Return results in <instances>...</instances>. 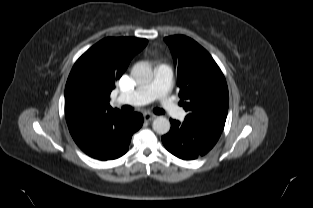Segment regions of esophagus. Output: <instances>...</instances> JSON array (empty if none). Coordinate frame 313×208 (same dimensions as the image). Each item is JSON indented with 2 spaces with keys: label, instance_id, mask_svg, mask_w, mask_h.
Wrapping results in <instances>:
<instances>
[{
  "label": "esophagus",
  "instance_id": "esophagus-1",
  "mask_svg": "<svg viewBox=\"0 0 313 208\" xmlns=\"http://www.w3.org/2000/svg\"><path fill=\"white\" fill-rule=\"evenodd\" d=\"M143 117L145 121H151L156 118V115L151 114V113H145Z\"/></svg>",
  "mask_w": 313,
  "mask_h": 208
}]
</instances>
